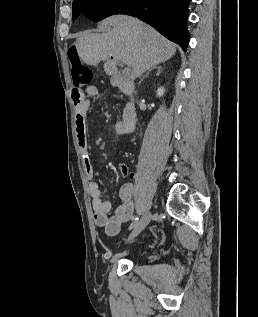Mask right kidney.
<instances>
[{
  "instance_id": "right-kidney-1",
  "label": "right kidney",
  "mask_w": 258,
  "mask_h": 317,
  "mask_svg": "<svg viewBox=\"0 0 258 317\" xmlns=\"http://www.w3.org/2000/svg\"><path fill=\"white\" fill-rule=\"evenodd\" d=\"M157 94H158V96H162V94H164V88H163V86H160V88H158Z\"/></svg>"
}]
</instances>
